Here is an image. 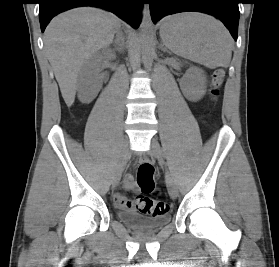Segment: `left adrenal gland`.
<instances>
[{
  "label": "left adrenal gland",
  "instance_id": "left-adrenal-gland-1",
  "mask_svg": "<svg viewBox=\"0 0 279 267\" xmlns=\"http://www.w3.org/2000/svg\"><path fill=\"white\" fill-rule=\"evenodd\" d=\"M163 46H164V45H162V48H161V49H162V51H163V52L170 53V52L168 51V49H167L166 47H163Z\"/></svg>",
  "mask_w": 279,
  "mask_h": 267
}]
</instances>
